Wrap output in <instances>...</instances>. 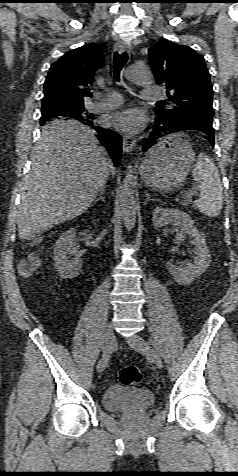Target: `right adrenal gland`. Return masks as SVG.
<instances>
[{"label": "right adrenal gland", "instance_id": "2a0ac1e0", "mask_svg": "<svg viewBox=\"0 0 238 476\" xmlns=\"http://www.w3.org/2000/svg\"><path fill=\"white\" fill-rule=\"evenodd\" d=\"M103 195H104V188L101 189L100 195H99V197L95 200L94 204H96V202H98V201H100V200H102L103 202H105V198L103 197Z\"/></svg>", "mask_w": 238, "mask_h": 476}]
</instances>
